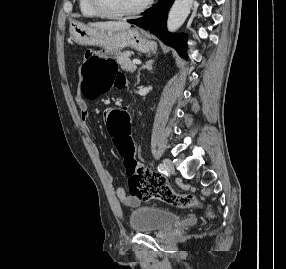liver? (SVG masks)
Instances as JSON below:
<instances>
[{
  "instance_id": "obj_1",
  "label": "liver",
  "mask_w": 286,
  "mask_h": 269,
  "mask_svg": "<svg viewBox=\"0 0 286 269\" xmlns=\"http://www.w3.org/2000/svg\"><path fill=\"white\" fill-rule=\"evenodd\" d=\"M89 26L97 29L118 32L129 29L131 25L124 21H118V22L106 21V22L89 23Z\"/></svg>"
}]
</instances>
